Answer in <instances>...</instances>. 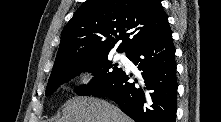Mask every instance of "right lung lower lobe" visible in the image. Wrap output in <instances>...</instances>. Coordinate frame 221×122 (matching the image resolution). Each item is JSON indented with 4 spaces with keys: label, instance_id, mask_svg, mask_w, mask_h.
Instances as JSON below:
<instances>
[{
    "label": "right lung lower lobe",
    "instance_id": "obj_1",
    "mask_svg": "<svg viewBox=\"0 0 221 122\" xmlns=\"http://www.w3.org/2000/svg\"><path fill=\"white\" fill-rule=\"evenodd\" d=\"M126 56L142 71V79L130 83L129 75L123 71L92 95L115 101L136 122H175V48L168 22Z\"/></svg>",
    "mask_w": 221,
    "mask_h": 122
}]
</instances>
